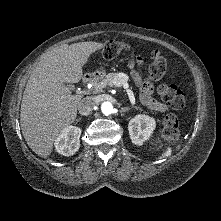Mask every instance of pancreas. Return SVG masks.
<instances>
[{
    "label": "pancreas",
    "instance_id": "1",
    "mask_svg": "<svg viewBox=\"0 0 221 221\" xmlns=\"http://www.w3.org/2000/svg\"><path fill=\"white\" fill-rule=\"evenodd\" d=\"M117 79H120L118 73H109L107 75H102L100 78L92 80V92L96 94L102 92L104 88L112 87L113 85H115V81ZM121 80L128 81V77L124 76V78H122Z\"/></svg>",
    "mask_w": 221,
    "mask_h": 221
}]
</instances>
